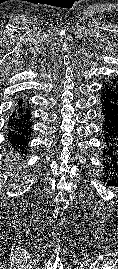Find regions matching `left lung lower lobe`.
I'll list each match as a JSON object with an SVG mask.
<instances>
[{
  "label": "left lung lower lobe",
  "mask_w": 118,
  "mask_h": 269,
  "mask_svg": "<svg viewBox=\"0 0 118 269\" xmlns=\"http://www.w3.org/2000/svg\"><path fill=\"white\" fill-rule=\"evenodd\" d=\"M103 87V157L106 158L104 164L109 169L118 167V89H113L105 83Z\"/></svg>",
  "instance_id": "left-lung-lower-lobe-1"
}]
</instances>
